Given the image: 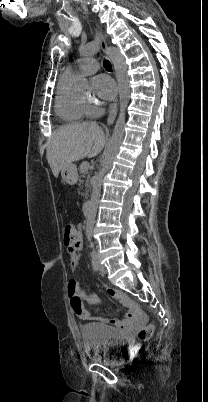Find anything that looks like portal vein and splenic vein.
Segmentation results:
<instances>
[{
	"mask_svg": "<svg viewBox=\"0 0 208 402\" xmlns=\"http://www.w3.org/2000/svg\"><path fill=\"white\" fill-rule=\"evenodd\" d=\"M88 168H90L88 162H83V164H82V166H81V169H82V170H88Z\"/></svg>",
	"mask_w": 208,
	"mask_h": 402,
	"instance_id": "18ae733b",
	"label": "portal vein and splenic vein"
}]
</instances>
